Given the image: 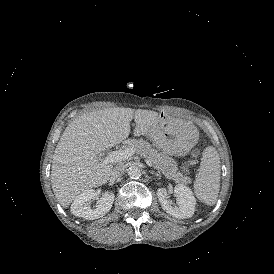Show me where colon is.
<instances>
[{
    "label": "colon",
    "mask_w": 274,
    "mask_h": 274,
    "mask_svg": "<svg viewBox=\"0 0 274 274\" xmlns=\"http://www.w3.org/2000/svg\"><path fill=\"white\" fill-rule=\"evenodd\" d=\"M198 151H194L191 156L185 160L183 162V164L181 165V172L184 173V174H187L191 171V168H192V163L193 161L196 159V157L198 156Z\"/></svg>",
    "instance_id": "5ec220e1"
}]
</instances>
